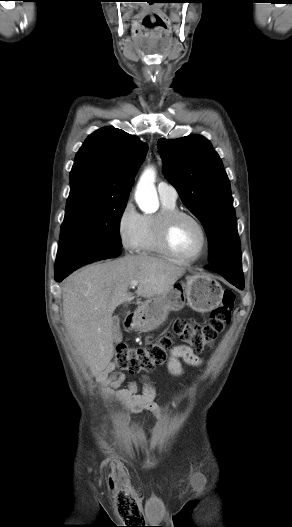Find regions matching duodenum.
<instances>
[{
  "label": "duodenum",
  "instance_id": "obj_1",
  "mask_svg": "<svg viewBox=\"0 0 292 527\" xmlns=\"http://www.w3.org/2000/svg\"><path fill=\"white\" fill-rule=\"evenodd\" d=\"M133 321H134V315L130 314L127 318V324L130 326L132 325Z\"/></svg>",
  "mask_w": 292,
  "mask_h": 527
}]
</instances>
